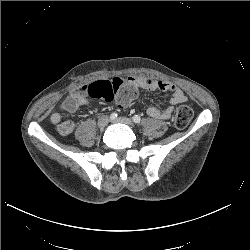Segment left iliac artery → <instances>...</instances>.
Returning a JSON list of instances; mask_svg holds the SVG:
<instances>
[{
    "instance_id": "1",
    "label": "left iliac artery",
    "mask_w": 250,
    "mask_h": 250,
    "mask_svg": "<svg viewBox=\"0 0 250 250\" xmlns=\"http://www.w3.org/2000/svg\"><path fill=\"white\" fill-rule=\"evenodd\" d=\"M132 120H133L135 123H140L141 118H140V116H138V115H134V116L132 117Z\"/></svg>"
}]
</instances>
